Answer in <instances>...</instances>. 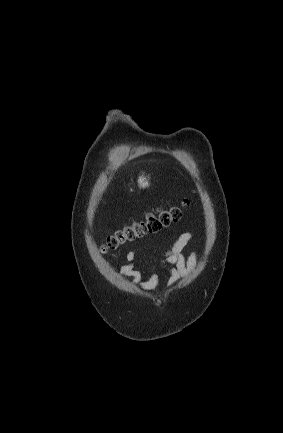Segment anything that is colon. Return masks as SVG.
Masks as SVG:
<instances>
[{
	"label": "colon",
	"instance_id": "1",
	"mask_svg": "<svg viewBox=\"0 0 283 433\" xmlns=\"http://www.w3.org/2000/svg\"><path fill=\"white\" fill-rule=\"evenodd\" d=\"M187 203L188 201H185L183 205ZM180 216L181 209L178 206L149 213L143 219L126 224L109 235L103 245V251H116L122 246L146 235L158 233L173 222H176Z\"/></svg>",
	"mask_w": 283,
	"mask_h": 433
}]
</instances>
